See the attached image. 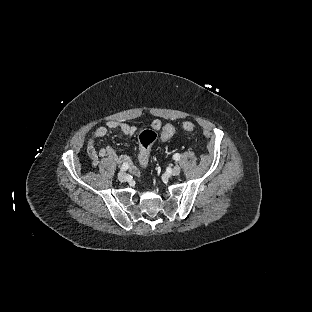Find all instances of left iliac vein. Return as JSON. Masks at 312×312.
Wrapping results in <instances>:
<instances>
[{"label":"left iliac vein","mask_w":312,"mask_h":312,"mask_svg":"<svg viewBox=\"0 0 312 312\" xmlns=\"http://www.w3.org/2000/svg\"><path fill=\"white\" fill-rule=\"evenodd\" d=\"M181 172V168L180 166L176 165L173 167L172 171H171V175L176 176Z\"/></svg>","instance_id":"left-iliac-vein-1"}]
</instances>
